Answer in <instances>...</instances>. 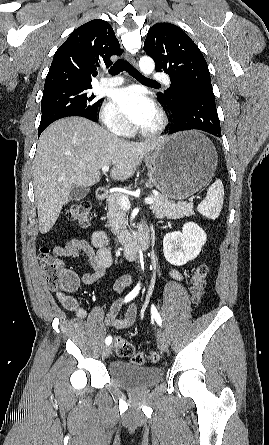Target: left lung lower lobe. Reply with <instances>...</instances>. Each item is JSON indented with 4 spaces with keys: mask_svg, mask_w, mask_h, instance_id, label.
<instances>
[{
    "mask_svg": "<svg viewBox=\"0 0 269 445\" xmlns=\"http://www.w3.org/2000/svg\"><path fill=\"white\" fill-rule=\"evenodd\" d=\"M162 101L173 115L174 124L169 134L197 129L218 137L221 136L220 122L212 89L192 88L177 95L173 104Z\"/></svg>",
    "mask_w": 269,
    "mask_h": 445,
    "instance_id": "left-lung-lower-lobe-1",
    "label": "left lung lower lobe"
}]
</instances>
